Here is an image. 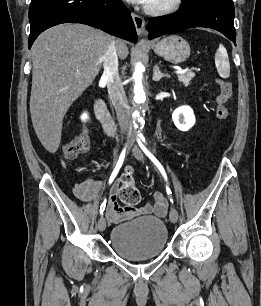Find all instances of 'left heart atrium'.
<instances>
[{"label":"left heart atrium","mask_w":261,"mask_h":306,"mask_svg":"<svg viewBox=\"0 0 261 306\" xmlns=\"http://www.w3.org/2000/svg\"><path fill=\"white\" fill-rule=\"evenodd\" d=\"M127 1L133 3H141V4H148L150 2V0H127Z\"/></svg>","instance_id":"1"}]
</instances>
